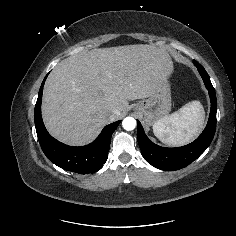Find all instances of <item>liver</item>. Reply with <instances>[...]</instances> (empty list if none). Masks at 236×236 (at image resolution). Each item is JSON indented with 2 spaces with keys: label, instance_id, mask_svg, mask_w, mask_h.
Masks as SVG:
<instances>
[{
  "label": "liver",
  "instance_id": "6515ba94",
  "mask_svg": "<svg viewBox=\"0 0 236 236\" xmlns=\"http://www.w3.org/2000/svg\"><path fill=\"white\" fill-rule=\"evenodd\" d=\"M172 72L169 53L147 44L95 48L68 57L46 80L44 124L65 144H88L128 109V101L150 97Z\"/></svg>",
  "mask_w": 236,
  "mask_h": 236
}]
</instances>
